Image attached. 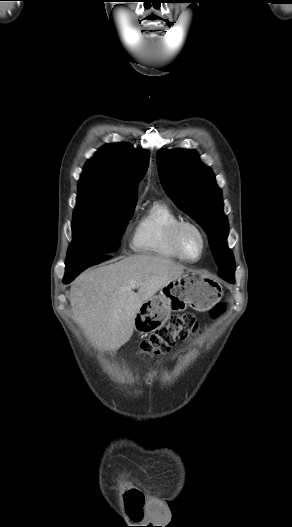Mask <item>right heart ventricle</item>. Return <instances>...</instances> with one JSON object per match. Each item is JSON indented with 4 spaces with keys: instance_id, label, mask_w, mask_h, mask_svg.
Returning <instances> with one entry per match:
<instances>
[{
    "instance_id": "right-heart-ventricle-1",
    "label": "right heart ventricle",
    "mask_w": 292,
    "mask_h": 527,
    "mask_svg": "<svg viewBox=\"0 0 292 527\" xmlns=\"http://www.w3.org/2000/svg\"><path fill=\"white\" fill-rule=\"evenodd\" d=\"M181 220V216L168 203L155 202L137 220L132 239L133 249L167 259H180L171 243V231Z\"/></svg>"
}]
</instances>
